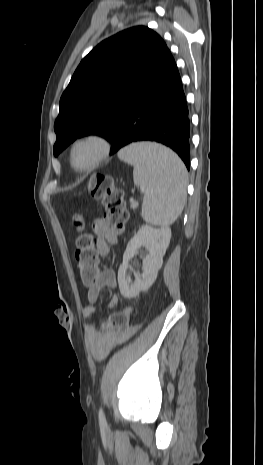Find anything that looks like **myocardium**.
I'll use <instances>...</instances> for the list:
<instances>
[{"label":"myocardium","instance_id":"f54148a6","mask_svg":"<svg viewBox=\"0 0 263 465\" xmlns=\"http://www.w3.org/2000/svg\"><path fill=\"white\" fill-rule=\"evenodd\" d=\"M84 142H94L98 145L99 151L97 156L94 158V160L87 166L85 167H76L73 162V153L75 148ZM111 141L110 139L104 135L103 133L100 132H87L85 134H82L75 138L69 147L68 151V159L70 166L78 172L82 173H87L95 170L97 167H99L110 155L111 153Z\"/></svg>","mask_w":263,"mask_h":465}]
</instances>
